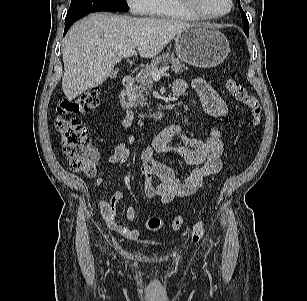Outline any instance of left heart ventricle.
Segmentation results:
<instances>
[{
  "label": "left heart ventricle",
  "instance_id": "b2bd125f",
  "mask_svg": "<svg viewBox=\"0 0 307 301\" xmlns=\"http://www.w3.org/2000/svg\"><path fill=\"white\" fill-rule=\"evenodd\" d=\"M198 5L212 13H222L229 7V0H196Z\"/></svg>",
  "mask_w": 307,
  "mask_h": 301
}]
</instances>
